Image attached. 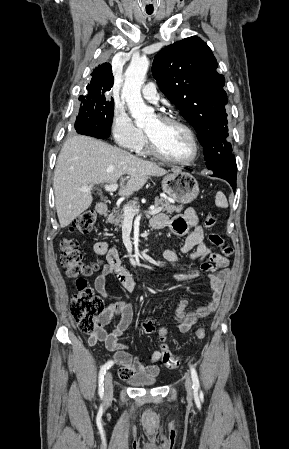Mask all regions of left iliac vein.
<instances>
[{"mask_svg":"<svg viewBox=\"0 0 289 449\" xmlns=\"http://www.w3.org/2000/svg\"><path fill=\"white\" fill-rule=\"evenodd\" d=\"M185 388H186L187 394L189 396H192V394H193L192 382H191L190 377L187 374L185 375Z\"/></svg>","mask_w":289,"mask_h":449,"instance_id":"obj_1","label":"left iliac vein"}]
</instances>
